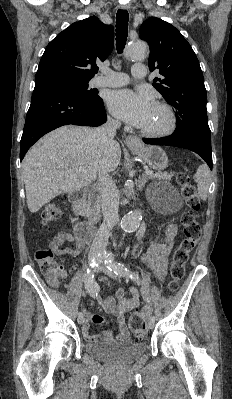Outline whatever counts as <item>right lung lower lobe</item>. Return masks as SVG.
<instances>
[{
    "mask_svg": "<svg viewBox=\"0 0 232 399\" xmlns=\"http://www.w3.org/2000/svg\"><path fill=\"white\" fill-rule=\"evenodd\" d=\"M106 122L102 98H83L75 89L59 81L35 82L20 141V160L46 133L67 124L99 126Z\"/></svg>",
    "mask_w": 232,
    "mask_h": 399,
    "instance_id": "right-lung-lower-lobe-1",
    "label": "right lung lower lobe"
}]
</instances>
